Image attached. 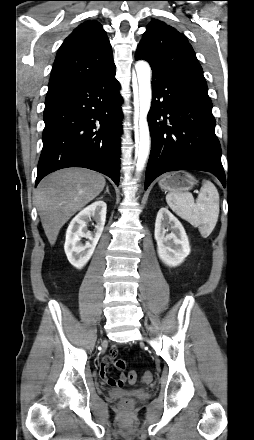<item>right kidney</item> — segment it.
Here are the masks:
<instances>
[{
	"label": "right kidney",
	"mask_w": 254,
	"mask_h": 440,
	"mask_svg": "<svg viewBox=\"0 0 254 440\" xmlns=\"http://www.w3.org/2000/svg\"><path fill=\"white\" fill-rule=\"evenodd\" d=\"M106 210L107 205L104 201H95L81 210L68 226L64 250L69 262L77 269L84 267L94 253L104 229ZM91 218L96 221L94 233L87 230V222ZM82 238L89 241L83 245Z\"/></svg>",
	"instance_id": "1"
}]
</instances>
